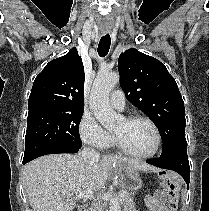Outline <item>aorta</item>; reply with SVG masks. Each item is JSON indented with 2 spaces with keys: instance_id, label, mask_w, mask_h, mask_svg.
I'll list each match as a JSON object with an SVG mask.
<instances>
[{
  "instance_id": "obj_1",
  "label": "aorta",
  "mask_w": 209,
  "mask_h": 211,
  "mask_svg": "<svg viewBox=\"0 0 209 211\" xmlns=\"http://www.w3.org/2000/svg\"><path fill=\"white\" fill-rule=\"evenodd\" d=\"M118 81L119 74L116 72H99L90 93V109L100 124L108 130L115 128L122 119L109 104V94ZM109 211H120L119 200L115 196L110 199Z\"/></svg>"
}]
</instances>
